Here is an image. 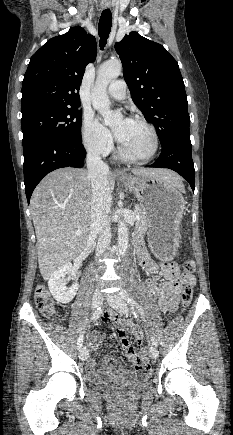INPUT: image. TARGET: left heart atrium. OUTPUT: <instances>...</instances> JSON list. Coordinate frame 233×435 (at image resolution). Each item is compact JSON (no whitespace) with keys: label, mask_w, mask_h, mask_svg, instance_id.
I'll return each mask as SVG.
<instances>
[{"label":"left heart atrium","mask_w":233,"mask_h":435,"mask_svg":"<svg viewBox=\"0 0 233 435\" xmlns=\"http://www.w3.org/2000/svg\"><path fill=\"white\" fill-rule=\"evenodd\" d=\"M127 121H129V119H127V118L123 119V123H126ZM115 136H116L117 140L119 141L120 137H121V130L116 131Z\"/></svg>","instance_id":"39dd6f15"}]
</instances>
